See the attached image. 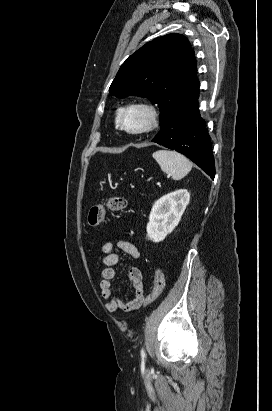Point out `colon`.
<instances>
[{"mask_svg": "<svg viewBox=\"0 0 272 411\" xmlns=\"http://www.w3.org/2000/svg\"><path fill=\"white\" fill-rule=\"evenodd\" d=\"M127 205L126 199L122 197H112L106 202L91 207L88 213L89 226L98 229L104 222L105 215L108 211L117 212L123 210ZM165 286L164 275L159 266L154 269V280L151 291L142 297H138L131 305L132 307H146L154 302L162 293Z\"/></svg>", "mask_w": 272, "mask_h": 411, "instance_id": "1", "label": "colon"}]
</instances>
